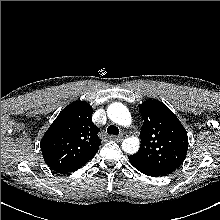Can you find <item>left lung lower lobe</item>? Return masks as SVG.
Returning a JSON list of instances; mask_svg holds the SVG:
<instances>
[{
  "label": "left lung lower lobe",
  "mask_w": 220,
  "mask_h": 220,
  "mask_svg": "<svg viewBox=\"0 0 220 220\" xmlns=\"http://www.w3.org/2000/svg\"><path fill=\"white\" fill-rule=\"evenodd\" d=\"M129 161L131 164L140 172H142L145 175L153 176V177H159V176H165L167 174L163 173L162 171L156 169L155 167L149 165L148 163L144 162L141 159L136 158L135 156H128Z\"/></svg>",
  "instance_id": "left-lung-lower-lobe-1"
}]
</instances>
